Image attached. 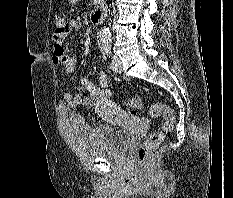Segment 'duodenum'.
<instances>
[{"label": "duodenum", "instance_id": "410a0bca", "mask_svg": "<svg viewBox=\"0 0 233 198\" xmlns=\"http://www.w3.org/2000/svg\"><path fill=\"white\" fill-rule=\"evenodd\" d=\"M105 13L106 9L103 5L96 7L90 16L91 23L100 24L104 20Z\"/></svg>", "mask_w": 233, "mask_h": 198}]
</instances>
